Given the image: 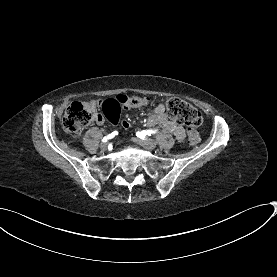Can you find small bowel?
I'll return each instance as SVG.
<instances>
[{
  "mask_svg": "<svg viewBox=\"0 0 277 277\" xmlns=\"http://www.w3.org/2000/svg\"><path fill=\"white\" fill-rule=\"evenodd\" d=\"M150 127L160 126L164 130L172 133L177 140L182 141L185 138V130L182 126L172 121L165 112V106L162 103L156 104L147 119ZM125 127L129 126L127 121L123 122Z\"/></svg>",
  "mask_w": 277,
  "mask_h": 277,
  "instance_id": "c3829d8e",
  "label": "small bowel"
}]
</instances>
